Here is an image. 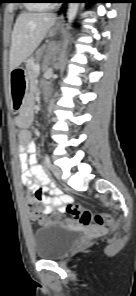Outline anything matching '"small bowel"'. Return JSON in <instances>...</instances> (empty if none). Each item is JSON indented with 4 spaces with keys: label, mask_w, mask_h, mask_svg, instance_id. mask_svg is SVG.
<instances>
[{
    "label": "small bowel",
    "mask_w": 136,
    "mask_h": 296,
    "mask_svg": "<svg viewBox=\"0 0 136 296\" xmlns=\"http://www.w3.org/2000/svg\"><path fill=\"white\" fill-rule=\"evenodd\" d=\"M28 96L30 101H26L23 110L16 117V125L20 128L18 142L22 183L26 190L33 192L34 195L40 193V200L44 205L43 213L63 212L70 198L62 194L40 166L36 155V144L31 140L27 130L36 110L34 91Z\"/></svg>",
    "instance_id": "small-bowel-1"
}]
</instances>
